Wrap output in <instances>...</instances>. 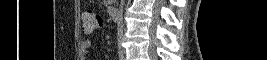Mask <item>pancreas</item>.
<instances>
[{
  "mask_svg": "<svg viewBox=\"0 0 267 60\" xmlns=\"http://www.w3.org/2000/svg\"><path fill=\"white\" fill-rule=\"evenodd\" d=\"M106 4H110V0H104Z\"/></svg>",
  "mask_w": 267,
  "mask_h": 60,
  "instance_id": "obj_1",
  "label": "pancreas"
}]
</instances>
